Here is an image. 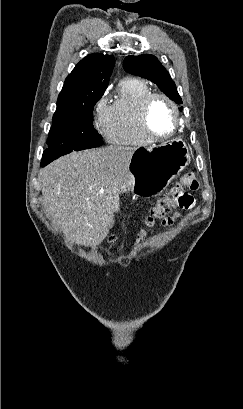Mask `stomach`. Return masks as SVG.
Returning a JSON list of instances; mask_svg holds the SVG:
<instances>
[{"mask_svg": "<svg viewBox=\"0 0 243 409\" xmlns=\"http://www.w3.org/2000/svg\"><path fill=\"white\" fill-rule=\"evenodd\" d=\"M189 149L182 139H173L133 153L121 193L149 196L162 192L188 165Z\"/></svg>", "mask_w": 243, "mask_h": 409, "instance_id": "obj_1", "label": "stomach"}]
</instances>
